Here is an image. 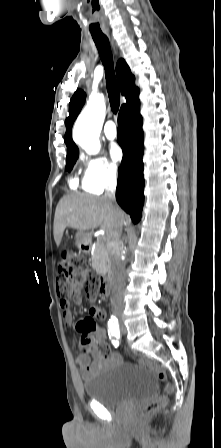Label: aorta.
I'll return each instance as SVG.
<instances>
[{"instance_id": "762f6f07", "label": "aorta", "mask_w": 221, "mask_h": 448, "mask_svg": "<svg viewBox=\"0 0 221 448\" xmlns=\"http://www.w3.org/2000/svg\"><path fill=\"white\" fill-rule=\"evenodd\" d=\"M106 106L100 97L92 98L76 120L73 139L88 154H97L100 150L99 135L102 128Z\"/></svg>"}]
</instances>
